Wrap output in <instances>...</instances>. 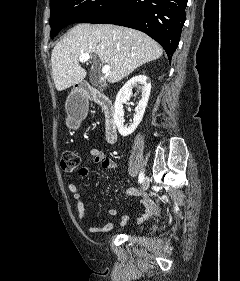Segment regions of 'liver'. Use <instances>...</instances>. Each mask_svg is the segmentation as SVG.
<instances>
[{
    "mask_svg": "<svg viewBox=\"0 0 240 281\" xmlns=\"http://www.w3.org/2000/svg\"><path fill=\"white\" fill-rule=\"evenodd\" d=\"M88 53L111 67L109 83H116L141 65L159 59L162 47L145 33L107 24H78L59 41L51 55L52 78L57 91L83 81L86 70L79 56Z\"/></svg>",
    "mask_w": 240,
    "mask_h": 281,
    "instance_id": "liver-1",
    "label": "liver"
}]
</instances>
